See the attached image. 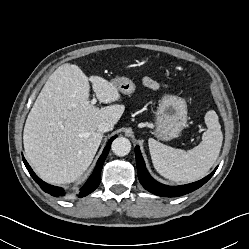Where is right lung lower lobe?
I'll list each match as a JSON object with an SVG mask.
<instances>
[{"instance_id": "98d812e1", "label": "right lung lower lobe", "mask_w": 249, "mask_h": 249, "mask_svg": "<svg viewBox=\"0 0 249 249\" xmlns=\"http://www.w3.org/2000/svg\"><path fill=\"white\" fill-rule=\"evenodd\" d=\"M115 138L116 137H112L110 139V142L113 141ZM110 146H111V143H108L107 146L104 148V151L101 154L100 158L98 159L96 167H95L92 175L89 177V179L87 180L85 185L80 189V192L78 195L79 197H84V196L90 194L99 186L100 180H101L102 166H103V163L108 155ZM23 162H24L28 172L32 176V178L41 187V189L43 191L49 193L52 196H60L61 197V196L65 195V192L62 188L55 187L53 185H49V184L45 183L44 181H42L40 178H38L24 158H23Z\"/></svg>"}]
</instances>
